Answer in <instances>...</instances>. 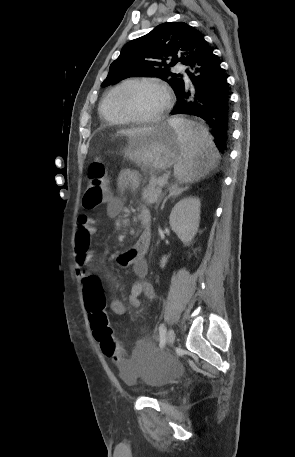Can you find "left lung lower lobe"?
<instances>
[{
	"label": "left lung lower lobe",
	"mask_w": 295,
	"mask_h": 457,
	"mask_svg": "<svg viewBox=\"0 0 295 457\" xmlns=\"http://www.w3.org/2000/svg\"><path fill=\"white\" fill-rule=\"evenodd\" d=\"M186 73L194 90L184 83L176 93L177 104L171 114H191L201 117L211 127L210 134L219 152L227 151L230 136L228 83L205 40L201 41L191 56Z\"/></svg>",
	"instance_id": "obj_1"
}]
</instances>
